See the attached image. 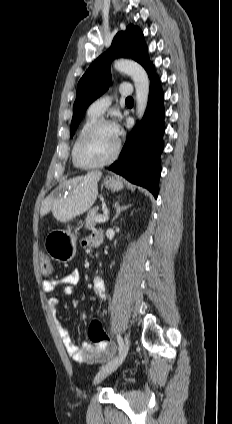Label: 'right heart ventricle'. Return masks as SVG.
<instances>
[{
  "instance_id": "obj_1",
  "label": "right heart ventricle",
  "mask_w": 232,
  "mask_h": 424,
  "mask_svg": "<svg viewBox=\"0 0 232 424\" xmlns=\"http://www.w3.org/2000/svg\"><path fill=\"white\" fill-rule=\"evenodd\" d=\"M97 119H98L97 115L92 114L90 112H87L86 117L84 118V120L82 121L81 125L78 128V131L76 133V137H75L73 145H72V151H71L72 163L77 168H80V167L77 165L75 157H74V149H75L76 143H77L78 139L80 138V136L84 133V131Z\"/></svg>"
}]
</instances>
